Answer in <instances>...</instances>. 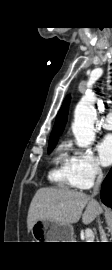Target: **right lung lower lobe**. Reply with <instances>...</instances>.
Segmentation results:
<instances>
[{"mask_svg":"<svg viewBox=\"0 0 112 270\" xmlns=\"http://www.w3.org/2000/svg\"><path fill=\"white\" fill-rule=\"evenodd\" d=\"M101 199L106 206L112 208V168L103 181L101 188Z\"/></svg>","mask_w":112,"mask_h":270,"instance_id":"obj_1","label":"right lung lower lobe"}]
</instances>
